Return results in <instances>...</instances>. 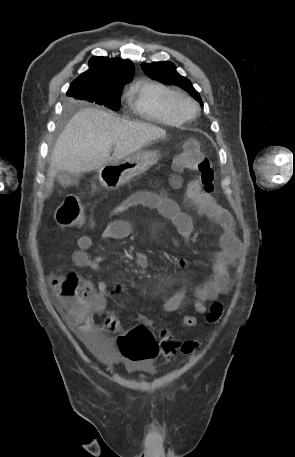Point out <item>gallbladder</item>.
Instances as JSON below:
<instances>
[{
    "instance_id": "bac80fb5",
    "label": "gallbladder",
    "mask_w": 295,
    "mask_h": 457,
    "mask_svg": "<svg viewBox=\"0 0 295 457\" xmlns=\"http://www.w3.org/2000/svg\"><path fill=\"white\" fill-rule=\"evenodd\" d=\"M80 176L77 174H72L66 171H58L55 175V179L62 185V186H71L73 184H77L79 181Z\"/></svg>"
}]
</instances>
